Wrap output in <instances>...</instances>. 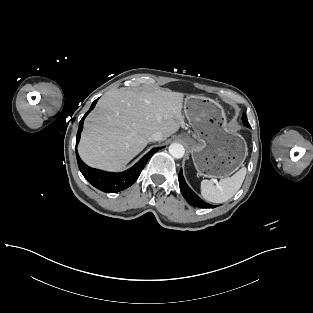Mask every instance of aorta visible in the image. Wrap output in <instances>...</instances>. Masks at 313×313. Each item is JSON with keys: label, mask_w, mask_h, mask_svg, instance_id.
Returning <instances> with one entry per match:
<instances>
[{"label": "aorta", "mask_w": 313, "mask_h": 313, "mask_svg": "<svg viewBox=\"0 0 313 313\" xmlns=\"http://www.w3.org/2000/svg\"><path fill=\"white\" fill-rule=\"evenodd\" d=\"M169 153L171 154L172 157L180 159L184 156L185 153L184 146L179 143H172L169 146Z\"/></svg>", "instance_id": "1"}]
</instances>
